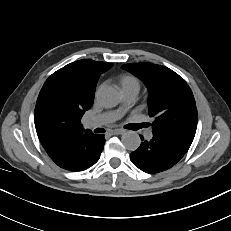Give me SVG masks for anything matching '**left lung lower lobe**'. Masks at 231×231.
Listing matches in <instances>:
<instances>
[{"instance_id": "obj_1", "label": "left lung lower lobe", "mask_w": 231, "mask_h": 231, "mask_svg": "<svg viewBox=\"0 0 231 231\" xmlns=\"http://www.w3.org/2000/svg\"><path fill=\"white\" fill-rule=\"evenodd\" d=\"M140 147L131 153L132 163L140 170L155 174L174 166L188 151L190 145L166 136L153 133L151 140H143Z\"/></svg>"}]
</instances>
